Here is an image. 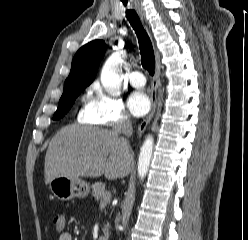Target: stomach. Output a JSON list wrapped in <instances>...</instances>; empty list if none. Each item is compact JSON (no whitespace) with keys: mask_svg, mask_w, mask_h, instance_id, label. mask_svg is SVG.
<instances>
[{"mask_svg":"<svg viewBox=\"0 0 248 240\" xmlns=\"http://www.w3.org/2000/svg\"><path fill=\"white\" fill-rule=\"evenodd\" d=\"M53 195L61 201H68L73 198H84L90 192V186L81 179H72L65 176H58L49 183Z\"/></svg>","mask_w":248,"mask_h":240,"instance_id":"stomach-1","label":"stomach"}]
</instances>
